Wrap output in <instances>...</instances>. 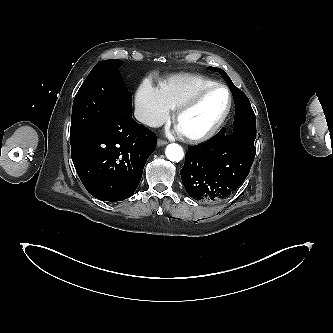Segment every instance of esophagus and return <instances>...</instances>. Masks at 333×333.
I'll return each instance as SVG.
<instances>
[{
    "instance_id": "34e87169",
    "label": "esophagus",
    "mask_w": 333,
    "mask_h": 333,
    "mask_svg": "<svg viewBox=\"0 0 333 333\" xmlns=\"http://www.w3.org/2000/svg\"><path fill=\"white\" fill-rule=\"evenodd\" d=\"M167 144V141L162 140V139H158L157 140V146H164Z\"/></svg>"
}]
</instances>
